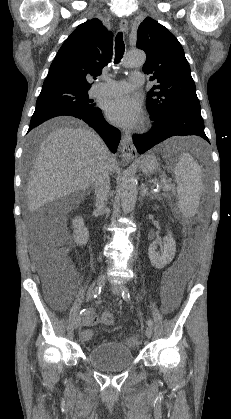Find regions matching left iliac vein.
Listing matches in <instances>:
<instances>
[{
  "mask_svg": "<svg viewBox=\"0 0 231 419\" xmlns=\"http://www.w3.org/2000/svg\"><path fill=\"white\" fill-rule=\"evenodd\" d=\"M123 288H124V286L121 283H113L112 284V290H113V293L115 295H120ZM145 335H146L147 338H151L152 337V328L147 327L146 330H145Z\"/></svg>",
  "mask_w": 231,
  "mask_h": 419,
  "instance_id": "4c4485c4",
  "label": "left iliac vein"
}]
</instances>
